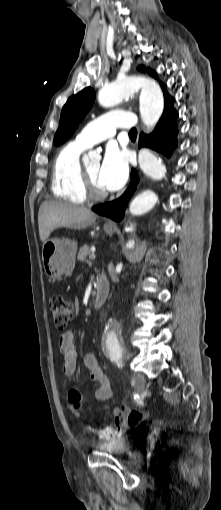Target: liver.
<instances>
[{"mask_svg": "<svg viewBox=\"0 0 221 510\" xmlns=\"http://www.w3.org/2000/svg\"><path fill=\"white\" fill-rule=\"evenodd\" d=\"M97 215L90 209L60 201H45L38 213L39 236L46 242L57 228L84 229L94 223Z\"/></svg>", "mask_w": 221, "mask_h": 510, "instance_id": "obj_1", "label": "liver"}]
</instances>
